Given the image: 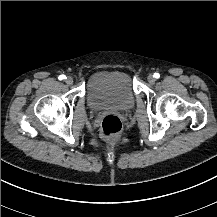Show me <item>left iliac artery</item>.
<instances>
[{
    "label": "left iliac artery",
    "instance_id": "obj_1",
    "mask_svg": "<svg viewBox=\"0 0 217 217\" xmlns=\"http://www.w3.org/2000/svg\"><path fill=\"white\" fill-rule=\"evenodd\" d=\"M154 78L158 79L160 77V74L159 73H154Z\"/></svg>",
    "mask_w": 217,
    "mask_h": 217
}]
</instances>
